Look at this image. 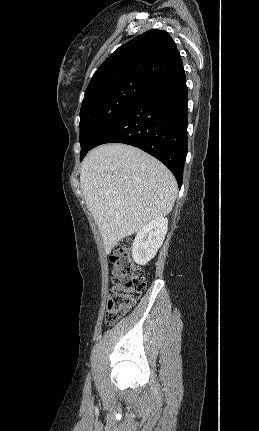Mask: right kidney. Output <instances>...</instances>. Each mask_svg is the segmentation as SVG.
Listing matches in <instances>:
<instances>
[{"instance_id": "1", "label": "right kidney", "mask_w": 259, "mask_h": 431, "mask_svg": "<svg viewBox=\"0 0 259 431\" xmlns=\"http://www.w3.org/2000/svg\"><path fill=\"white\" fill-rule=\"evenodd\" d=\"M168 229V219L161 217L144 225L137 233L132 257L137 264L146 265L157 253Z\"/></svg>"}]
</instances>
